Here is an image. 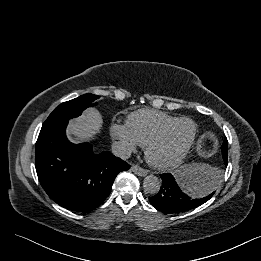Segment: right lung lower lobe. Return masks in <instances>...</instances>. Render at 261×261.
Wrapping results in <instances>:
<instances>
[{
    "instance_id": "1",
    "label": "right lung lower lobe",
    "mask_w": 261,
    "mask_h": 261,
    "mask_svg": "<svg viewBox=\"0 0 261 261\" xmlns=\"http://www.w3.org/2000/svg\"><path fill=\"white\" fill-rule=\"evenodd\" d=\"M68 121L43 124L36 142V171L53 201L69 210L89 212L106 199L117 174L130 165L107 151L95 154L89 143L69 142Z\"/></svg>"
}]
</instances>
